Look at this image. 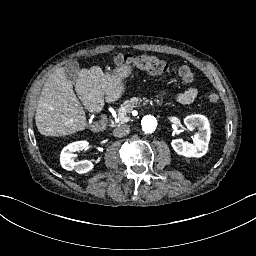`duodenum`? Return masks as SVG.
Returning <instances> with one entry per match:
<instances>
[{"mask_svg": "<svg viewBox=\"0 0 256 256\" xmlns=\"http://www.w3.org/2000/svg\"><path fill=\"white\" fill-rule=\"evenodd\" d=\"M134 70V62L132 60H125L123 64L116 70L115 73L107 79V91L110 98H115L117 96L116 82L119 80H126L129 74ZM109 118L106 113H102L99 121L94 125L93 131L96 133H101L105 130L108 124Z\"/></svg>", "mask_w": 256, "mask_h": 256, "instance_id": "obj_1", "label": "duodenum"}]
</instances>
